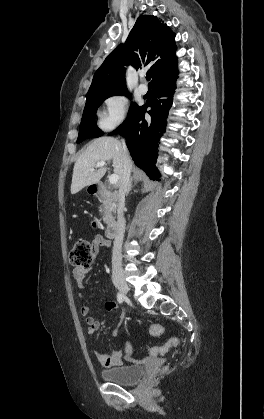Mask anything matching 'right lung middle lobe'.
Instances as JSON below:
<instances>
[{"label":"right lung middle lobe","mask_w":264,"mask_h":419,"mask_svg":"<svg viewBox=\"0 0 264 419\" xmlns=\"http://www.w3.org/2000/svg\"><path fill=\"white\" fill-rule=\"evenodd\" d=\"M123 94L127 95V92L123 91V92L101 94V95L87 97L86 105L84 108V112H83V116H82V120L80 124L77 143H80L83 140L88 139V138H94V137H99L103 135V132L96 126V123H95L96 111L98 107L100 106V104L108 97L113 96V95H123ZM137 108H138L137 104L133 103L131 105L128 115H130Z\"/></svg>","instance_id":"right-lung-middle-lobe-1"}]
</instances>
